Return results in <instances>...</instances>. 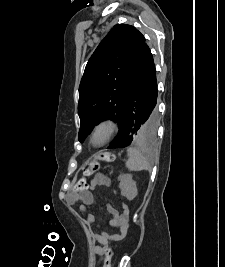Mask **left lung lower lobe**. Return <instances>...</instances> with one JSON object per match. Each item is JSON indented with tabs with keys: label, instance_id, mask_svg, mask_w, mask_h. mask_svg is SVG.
<instances>
[{
	"label": "left lung lower lobe",
	"instance_id": "1",
	"mask_svg": "<svg viewBox=\"0 0 225 267\" xmlns=\"http://www.w3.org/2000/svg\"><path fill=\"white\" fill-rule=\"evenodd\" d=\"M157 96L155 65L150 49L145 43L126 97L119 133L108 149L130 145L141 123L146 124L145 133L157 129Z\"/></svg>",
	"mask_w": 225,
	"mask_h": 267
}]
</instances>
